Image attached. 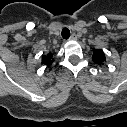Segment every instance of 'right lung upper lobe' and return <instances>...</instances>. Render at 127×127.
Here are the masks:
<instances>
[{"mask_svg": "<svg viewBox=\"0 0 127 127\" xmlns=\"http://www.w3.org/2000/svg\"><path fill=\"white\" fill-rule=\"evenodd\" d=\"M53 62V54L43 55L42 56V63L45 65H50Z\"/></svg>", "mask_w": 127, "mask_h": 127, "instance_id": "obj_1", "label": "right lung upper lobe"}]
</instances>
